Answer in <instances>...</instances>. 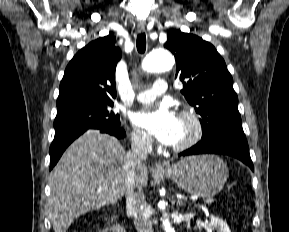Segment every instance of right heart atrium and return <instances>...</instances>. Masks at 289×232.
I'll return each instance as SVG.
<instances>
[{
    "mask_svg": "<svg viewBox=\"0 0 289 232\" xmlns=\"http://www.w3.org/2000/svg\"><path fill=\"white\" fill-rule=\"evenodd\" d=\"M131 142L133 147L140 151H148L152 147V140L148 135L145 133L139 131V130H133L131 132Z\"/></svg>",
    "mask_w": 289,
    "mask_h": 232,
    "instance_id": "right-heart-atrium-1",
    "label": "right heart atrium"
}]
</instances>
